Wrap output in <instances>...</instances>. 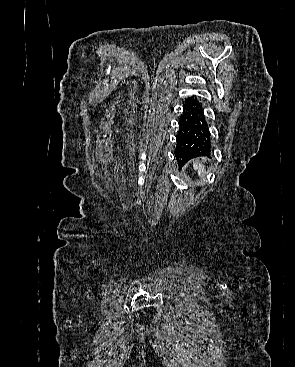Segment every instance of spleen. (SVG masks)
<instances>
[{"instance_id": "1", "label": "spleen", "mask_w": 295, "mask_h": 367, "mask_svg": "<svg viewBox=\"0 0 295 367\" xmlns=\"http://www.w3.org/2000/svg\"><path fill=\"white\" fill-rule=\"evenodd\" d=\"M193 168L198 172L200 178L204 176L205 167L201 162H199L198 160L193 161Z\"/></svg>"}]
</instances>
